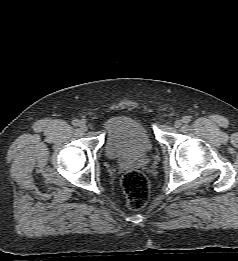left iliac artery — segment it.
<instances>
[{
  "label": "left iliac artery",
  "instance_id": "1",
  "mask_svg": "<svg viewBox=\"0 0 238 261\" xmlns=\"http://www.w3.org/2000/svg\"><path fill=\"white\" fill-rule=\"evenodd\" d=\"M182 121H183L184 123H189V122L191 121V118H190L189 116H184V117L182 118Z\"/></svg>",
  "mask_w": 238,
  "mask_h": 261
}]
</instances>
